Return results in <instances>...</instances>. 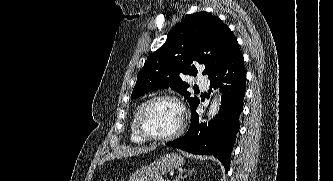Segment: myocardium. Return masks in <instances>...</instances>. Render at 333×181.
I'll use <instances>...</instances> for the list:
<instances>
[{"label": "myocardium", "instance_id": "1", "mask_svg": "<svg viewBox=\"0 0 333 181\" xmlns=\"http://www.w3.org/2000/svg\"><path fill=\"white\" fill-rule=\"evenodd\" d=\"M161 100L171 101L179 107V109L181 111V121H180L179 127L172 133L163 135V136H156V135L150 134L144 128L143 116L151 104H153L154 102H157V101H161ZM185 119H186V111H185V107L182 104V102L173 95L161 94V95H156V96L149 98L140 106L137 116H136V120H135V127H136V130L139 133V135L142 136L144 139L149 140V141H155V142H164V141L173 140L182 134V132L185 129Z\"/></svg>", "mask_w": 333, "mask_h": 181}]
</instances>
